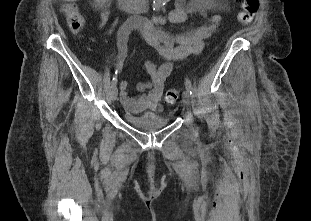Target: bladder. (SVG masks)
Wrapping results in <instances>:
<instances>
[{
    "label": "bladder",
    "mask_w": 311,
    "mask_h": 221,
    "mask_svg": "<svg viewBox=\"0 0 311 221\" xmlns=\"http://www.w3.org/2000/svg\"><path fill=\"white\" fill-rule=\"evenodd\" d=\"M127 123L136 126L140 131L147 134H153L158 129L168 127L171 123L170 118H165L162 114L146 112L141 115H135L131 111L124 109L122 111Z\"/></svg>",
    "instance_id": "bladder-1"
}]
</instances>
